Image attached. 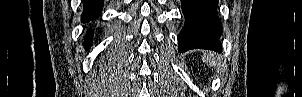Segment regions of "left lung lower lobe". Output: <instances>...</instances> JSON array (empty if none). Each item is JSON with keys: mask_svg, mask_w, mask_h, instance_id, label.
I'll use <instances>...</instances> for the list:
<instances>
[{"mask_svg": "<svg viewBox=\"0 0 302 97\" xmlns=\"http://www.w3.org/2000/svg\"><path fill=\"white\" fill-rule=\"evenodd\" d=\"M181 4L186 22L178 35L179 51L201 48L220 52L218 0H181Z\"/></svg>", "mask_w": 302, "mask_h": 97, "instance_id": "left-lung-lower-lobe-1", "label": "left lung lower lobe"}]
</instances>
